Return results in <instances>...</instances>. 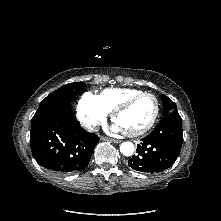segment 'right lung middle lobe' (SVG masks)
Returning a JSON list of instances; mask_svg holds the SVG:
<instances>
[{
	"label": "right lung middle lobe",
	"mask_w": 221,
	"mask_h": 221,
	"mask_svg": "<svg viewBox=\"0 0 221 221\" xmlns=\"http://www.w3.org/2000/svg\"><path fill=\"white\" fill-rule=\"evenodd\" d=\"M85 86V83L74 82L60 87L42 100L32 119L36 118L48 109L70 103V101L74 99L76 95H78L85 88Z\"/></svg>",
	"instance_id": "obj_1"
}]
</instances>
